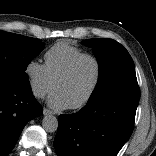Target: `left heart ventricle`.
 I'll use <instances>...</instances> for the list:
<instances>
[{
  "instance_id": "left-heart-ventricle-1",
  "label": "left heart ventricle",
  "mask_w": 156,
  "mask_h": 156,
  "mask_svg": "<svg viewBox=\"0 0 156 156\" xmlns=\"http://www.w3.org/2000/svg\"><path fill=\"white\" fill-rule=\"evenodd\" d=\"M96 74V64L91 59H84L68 79L57 85L56 91L72 106L88 94L95 82Z\"/></svg>"
}]
</instances>
